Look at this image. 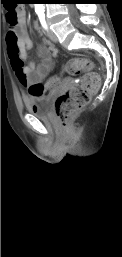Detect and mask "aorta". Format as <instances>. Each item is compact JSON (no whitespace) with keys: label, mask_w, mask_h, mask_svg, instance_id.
Returning <instances> with one entry per match:
<instances>
[{"label":"aorta","mask_w":122,"mask_h":257,"mask_svg":"<svg viewBox=\"0 0 122 257\" xmlns=\"http://www.w3.org/2000/svg\"><path fill=\"white\" fill-rule=\"evenodd\" d=\"M44 4H35V12L36 13H44Z\"/></svg>","instance_id":"762f6f07"}]
</instances>
